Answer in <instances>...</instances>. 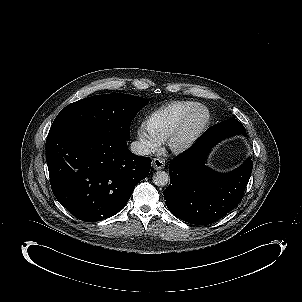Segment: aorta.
<instances>
[{"label":"aorta","instance_id":"aorta-1","mask_svg":"<svg viewBox=\"0 0 302 302\" xmlns=\"http://www.w3.org/2000/svg\"><path fill=\"white\" fill-rule=\"evenodd\" d=\"M152 181L156 186H166L170 182L169 174L165 171H157L153 177Z\"/></svg>","mask_w":302,"mask_h":302}]
</instances>
